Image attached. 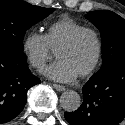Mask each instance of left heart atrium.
Segmentation results:
<instances>
[{"mask_svg":"<svg viewBox=\"0 0 125 125\" xmlns=\"http://www.w3.org/2000/svg\"><path fill=\"white\" fill-rule=\"evenodd\" d=\"M44 74L59 82H70L77 77L76 73L62 60H58L47 67L44 70Z\"/></svg>","mask_w":125,"mask_h":125,"instance_id":"39dd6f15","label":"left heart atrium"}]
</instances>
